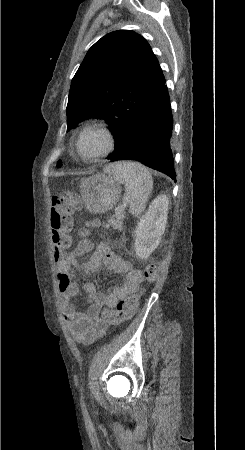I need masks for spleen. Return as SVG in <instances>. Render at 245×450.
Wrapping results in <instances>:
<instances>
[{"label":"spleen","instance_id":"obj_1","mask_svg":"<svg viewBox=\"0 0 245 450\" xmlns=\"http://www.w3.org/2000/svg\"><path fill=\"white\" fill-rule=\"evenodd\" d=\"M104 171L112 173L118 181L125 184L130 199V212L134 216L140 215L146 208L153 188L152 176L148 169L140 163L123 161L109 165Z\"/></svg>","mask_w":245,"mask_h":450}]
</instances>
